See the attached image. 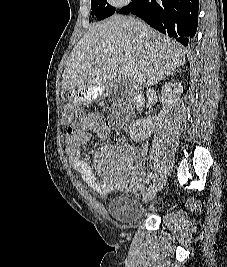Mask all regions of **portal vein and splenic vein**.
Masks as SVG:
<instances>
[{
  "instance_id": "1",
  "label": "portal vein and splenic vein",
  "mask_w": 227,
  "mask_h": 267,
  "mask_svg": "<svg viewBox=\"0 0 227 267\" xmlns=\"http://www.w3.org/2000/svg\"><path fill=\"white\" fill-rule=\"evenodd\" d=\"M120 72L126 78H131L133 76V70L125 65L121 66Z\"/></svg>"
}]
</instances>
